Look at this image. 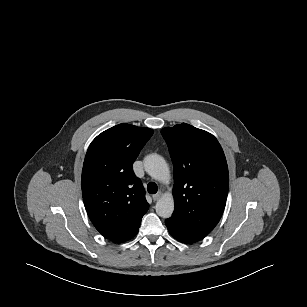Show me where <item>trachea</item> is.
<instances>
[{"label": "trachea", "mask_w": 307, "mask_h": 307, "mask_svg": "<svg viewBox=\"0 0 307 307\" xmlns=\"http://www.w3.org/2000/svg\"><path fill=\"white\" fill-rule=\"evenodd\" d=\"M147 190L150 194H155L158 191V186L154 182H150L147 185Z\"/></svg>", "instance_id": "1"}]
</instances>
